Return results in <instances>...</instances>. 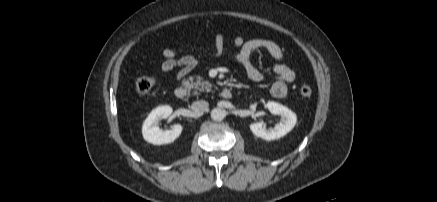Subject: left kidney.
<instances>
[{
    "instance_id": "5707ae66",
    "label": "left kidney",
    "mask_w": 437,
    "mask_h": 202,
    "mask_svg": "<svg viewBox=\"0 0 437 202\" xmlns=\"http://www.w3.org/2000/svg\"><path fill=\"white\" fill-rule=\"evenodd\" d=\"M267 108L272 114L280 115L281 121L275 125L274 129L269 130L263 128L262 123L260 122L252 123L250 125V130L254 135L270 141L285 136L294 128L297 122V117L290 109L276 102H268Z\"/></svg>"
}]
</instances>
